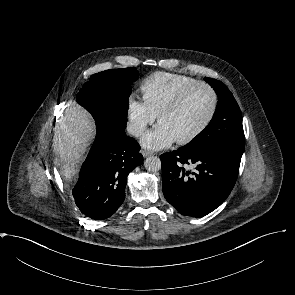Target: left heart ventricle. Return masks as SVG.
I'll list each match as a JSON object with an SVG mask.
<instances>
[{
    "mask_svg": "<svg viewBox=\"0 0 295 295\" xmlns=\"http://www.w3.org/2000/svg\"><path fill=\"white\" fill-rule=\"evenodd\" d=\"M213 105L211 93L205 87L196 88L175 112L165 116L161 124L167 126L177 139L197 130L208 118Z\"/></svg>",
    "mask_w": 295,
    "mask_h": 295,
    "instance_id": "1",
    "label": "left heart ventricle"
}]
</instances>
